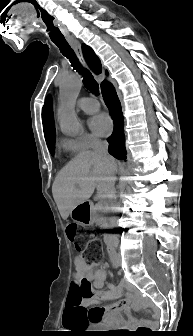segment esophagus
<instances>
[{
	"mask_svg": "<svg viewBox=\"0 0 193 336\" xmlns=\"http://www.w3.org/2000/svg\"><path fill=\"white\" fill-rule=\"evenodd\" d=\"M70 42H71V44H72V46H73V48H74V50H75V52H76V54H77V56H78V58H79L81 64H82L84 67H88V66H87V63H86V61H85V59H84L83 52H82V48H81V44L79 43V41L76 40V39H73V40H71Z\"/></svg>",
	"mask_w": 193,
	"mask_h": 336,
	"instance_id": "1",
	"label": "esophagus"
}]
</instances>
